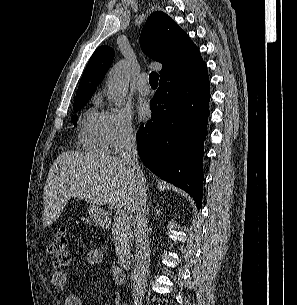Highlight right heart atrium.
<instances>
[{
  "instance_id": "right-heart-atrium-1",
  "label": "right heart atrium",
  "mask_w": 297,
  "mask_h": 305,
  "mask_svg": "<svg viewBox=\"0 0 297 305\" xmlns=\"http://www.w3.org/2000/svg\"><path fill=\"white\" fill-rule=\"evenodd\" d=\"M102 126L108 150L119 152L136 139L137 131L131 112L123 107L102 112Z\"/></svg>"
}]
</instances>
